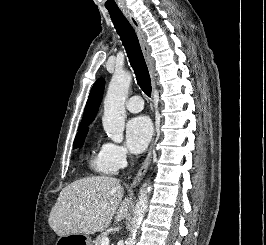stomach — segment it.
<instances>
[{"label": "stomach", "mask_w": 266, "mask_h": 245, "mask_svg": "<svg viewBox=\"0 0 266 245\" xmlns=\"http://www.w3.org/2000/svg\"><path fill=\"white\" fill-rule=\"evenodd\" d=\"M60 241L76 242V245H93V241L84 233H65V237H61Z\"/></svg>", "instance_id": "1"}]
</instances>
